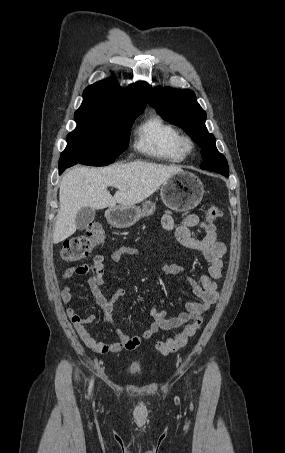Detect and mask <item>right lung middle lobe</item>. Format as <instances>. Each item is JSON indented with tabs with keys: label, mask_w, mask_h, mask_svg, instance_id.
<instances>
[{
	"label": "right lung middle lobe",
	"mask_w": 285,
	"mask_h": 453,
	"mask_svg": "<svg viewBox=\"0 0 285 453\" xmlns=\"http://www.w3.org/2000/svg\"><path fill=\"white\" fill-rule=\"evenodd\" d=\"M143 111L113 112L79 108L76 129L67 136L60 161L75 165L106 166L122 154L129 143L130 128Z\"/></svg>",
	"instance_id": "dd1d6c3e"
}]
</instances>
